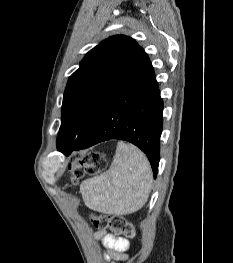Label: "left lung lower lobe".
<instances>
[{
    "label": "left lung lower lobe",
    "mask_w": 233,
    "mask_h": 263,
    "mask_svg": "<svg viewBox=\"0 0 233 263\" xmlns=\"http://www.w3.org/2000/svg\"><path fill=\"white\" fill-rule=\"evenodd\" d=\"M163 101L147 55L136 66L109 102L84 143L57 140L58 151L88 148L109 139H121L139 147L148 157L154 178L160 160L159 139L163 124Z\"/></svg>",
    "instance_id": "left-lung-lower-lobe-1"
}]
</instances>
